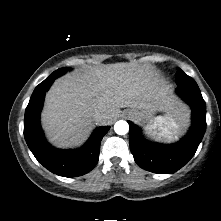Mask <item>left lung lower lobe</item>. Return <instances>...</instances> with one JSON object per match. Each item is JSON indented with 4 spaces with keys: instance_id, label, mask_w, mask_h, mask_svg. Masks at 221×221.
Instances as JSON below:
<instances>
[{
    "instance_id": "obj_1",
    "label": "left lung lower lobe",
    "mask_w": 221,
    "mask_h": 221,
    "mask_svg": "<svg viewBox=\"0 0 221 221\" xmlns=\"http://www.w3.org/2000/svg\"><path fill=\"white\" fill-rule=\"evenodd\" d=\"M176 93L192 109V125L179 142L166 145L146 140L138 126L129 123V144L135 162L143 169L174 173L194 156L206 130V105L199 88L177 87Z\"/></svg>"
}]
</instances>
